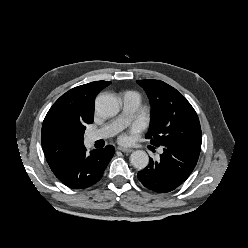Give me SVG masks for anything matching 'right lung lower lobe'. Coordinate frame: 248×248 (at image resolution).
I'll return each instance as SVG.
<instances>
[{
  "label": "right lung lower lobe",
  "instance_id": "98d812e1",
  "mask_svg": "<svg viewBox=\"0 0 248 248\" xmlns=\"http://www.w3.org/2000/svg\"><path fill=\"white\" fill-rule=\"evenodd\" d=\"M114 153L115 149L110 145L90 154L82 147L53 170V173L64 185L72 189L87 188L101 179Z\"/></svg>",
  "mask_w": 248,
  "mask_h": 248
}]
</instances>
